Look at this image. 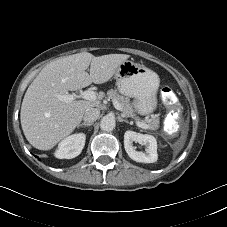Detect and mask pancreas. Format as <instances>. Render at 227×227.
<instances>
[{
	"label": "pancreas",
	"instance_id": "obj_1",
	"mask_svg": "<svg viewBox=\"0 0 227 227\" xmlns=\"http://www.w3.org/2000/svg\"><path fill=\"white\" fill-rule=\"evenodd\" d=\"M108 98L112 100V102H117L121 106V111L125 117H135V110L133 108L132 103L128 98L123 97L122 95L118 94L116 90H109L107 92ZM148 125V129L156 130L159 128V118L157 116H152L150 119L144 121Z\"/></svg>",
	"mask_w": 227,
	"mask_h": 227
}]
</instances>
